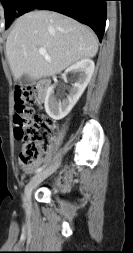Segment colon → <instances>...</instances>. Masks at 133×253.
I'll return each instance as SVG.
<instances>
[{
    "label": "colon",
    "instance_id": "obj_1",
    "mask_svg": "<svg viewBox=\"0 0 133 253\" xmlns=\"http://www.w3.org/2000/svg\"><path fill=\"white\" fill-rule=\"evenodd\" d=\"M38 98L33 87H19L15 91L14 135L21 140L19 165L23 169L34 166L49 141L52 122L43 115L34 114Z\"/></svg>",
    "mask_w": 133,
    "mask_h": 253
}]
</instances>
